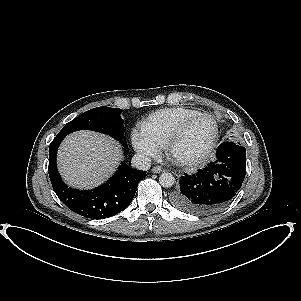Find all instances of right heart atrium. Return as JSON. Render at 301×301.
<instances>
[{
	"label": "right heart atrium",
	"instance_id": "d8ad5b80",
	"mask_svg": "<svg viewBox=\"0 0 301 301\" xmlns=\"http://www.w3.org/2000/svg\"><path fill=\"white\" fill-rule=\"evenodd\" d=\"M131 143L135 151L145 159H154L160 154V146L137 129L131 133Z\"/></svg>",
	"mask_w": 301,
	"mask_h": 301
}]
</instances>
